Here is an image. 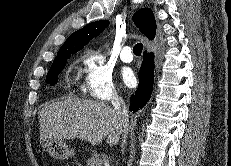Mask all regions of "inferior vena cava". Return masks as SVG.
<instances>
[{
    "mask_svg": "<svg viewBox=\"0 0 231 166\" xmlns=\"http://www.w3.org/2000/svg\"><path fill=\"white\" fill-rule=\"evenodd\" d=\"M111 104L114 107L116 113L121 117L123 127H124V134H123V142L125 143L127 134H128V122H129V114L128 108L121 97L117 94H113L111 97ZM124 152V148H122V153Z\"/></svg>",
    "mask_w": 231,
    "mask_h": 166,
    "instance_id": "1",
    "label": "inferior vena cava"
}]
</instances>
